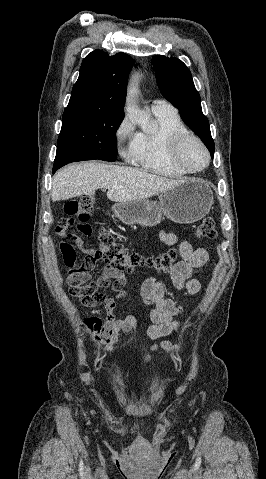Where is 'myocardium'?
Wrapping results in <instances>:
<instances>
[{"instance_id":"f54148a6","label":"myocardium","mask_w":266,"mask_h":479,"mask_svg":"<svg viewBox=\"0 0 266 479\" xmlns=\"http://www.w3.org/2000/svg\"><path fill=\"white\" fill-rule=\"evenodd\" d=\"M195 142L199 145L205 154V164L199 168H189L182 160L181 152L188 142ZM167 155L169 161L180 171L187 174H195L204 171L210 164L211 156L205 143L196 135L189 132L177 133L172 135L168 140Z\"/></svg>"}]
</instances>
